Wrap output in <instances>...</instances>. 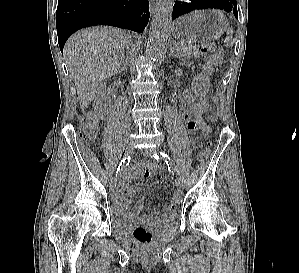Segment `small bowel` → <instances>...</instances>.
Here are the masks:
<instances>
[{"label": "small bowel", "mask_w": 299, "mask_h": 273, "mask_svg": "<svg viewBox=\"0 0 299 273\" xmlns=\"http://www.w3.org/2000/svg\"><path fill=\"white\" fill-rule=\"evenodd\" d=\"M194 104V98L190 93L185 94L180 103V112L186 122V126L191 133L193 141L201 145L208 131V127L203 122H196L192 118V108ZM156 172V166L149 163H139L133 168H131L124 176L120 187L116 191V200L118 207L122 211H127V206L133 196L135 195L137 189L130 183L139 178H149ZM159 179H162L160 177ZM144 207V200H140L136 203L134 207V214H139ZM176 210V206L169 204L165 207L163 212V219L171 218ZM145 219L149 222L155 221V216L153 214H148Z\"/></svg>", "instance_id": "c3829d8e"}]
</instances>
